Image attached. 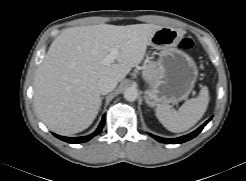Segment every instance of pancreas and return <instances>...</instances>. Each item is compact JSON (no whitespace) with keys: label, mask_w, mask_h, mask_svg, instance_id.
<instances>
[{"label":"pancreas","mask_w":246,"mask_h":181,"mask_svg":"<svg viewBox=\"0 0 246 181\" xmlns=\"http://www.w3.org/2000/svg\"><path fill=\"white\" fill-rule=\"evenodd\" d=\"M159 73L158 67L153 62L146 63L142 71L143 78L146 80L156 79Z\"/></svg>","instance_id":"obj_1"}]
</instances>
